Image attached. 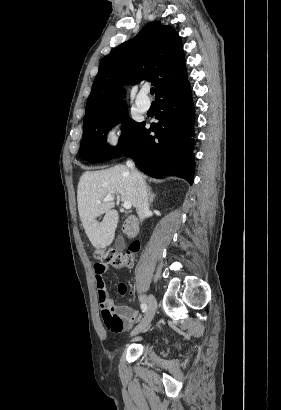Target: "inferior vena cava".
I'll return each mask as SVG.
<instances>
[{
    "label": "inferior vena cava",
    "mask_w": 281,
    "mask_h": 410,
    "mask_svg": "<svg viewBox=\"0 0 281 410\" xmlns=\"http://www.w3.org/2000/svg\"><path fill=\"white\" fill-rule=\"evenodd\" d=\"M127 167L129 168L132 177L135 182L136 186V211L139 217L140 222H142L149 211V203H148V190L145 183L143 176L135 169L134 162L132 160H128L126 163ZM139 224V223H138ZM137 224V227H138Z\"/></svg>",
    "instance_id": "602c4592"
}]
</instances>
